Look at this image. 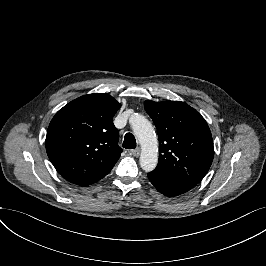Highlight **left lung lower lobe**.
Here are the masks:
<instances>
[{
  "label": "left lung lower lobe",
  "mask_w": 266,
  "mask_h": 266,
  "mask_svg": "<svg viewBox=\"0 0 266 266\" xmlns=\"http://www.w3.org/2000/svg\"><path fill=\"white\" fill-rule=\"evenodd\" d=\"M148 178L160 193L169 197L183 194L193 187L157 171L148 173Z\"/></svg>",
  "instance_id": "0a47b994"
}]
</instances>
